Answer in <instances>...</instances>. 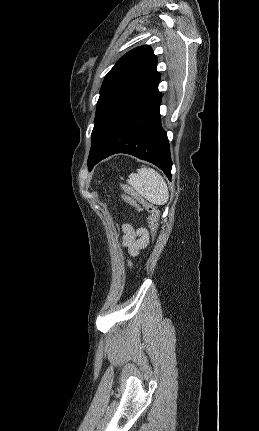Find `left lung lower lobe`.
<instances>
[{
	"label": "left lung lower lobe",
	"mask_w": 259,
	"mask_h": 431,
	"mask_svg": "<svg viewBox=\"0 0 259 431\" xmlns=\"http://www.w3.org/2000/svg\"><path fill=\"white\" fill-rule=\"evenodd\" d=\"M161 99L157 88L131 109L88 160L89 170L110 155L126 153L153 163L171 180L169 142L159 112Z\"/></svg>",
	"instance_id": "obj_1"
}]
</instances>
